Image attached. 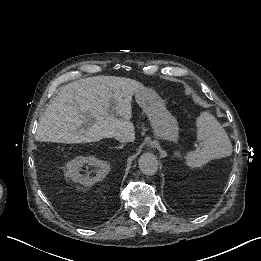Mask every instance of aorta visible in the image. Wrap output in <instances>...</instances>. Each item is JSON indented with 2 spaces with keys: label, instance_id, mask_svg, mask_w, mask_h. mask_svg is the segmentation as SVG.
<instances>
[{
  "label": "aorta",
  "instance_id": "aorta-1",
  "mask_svg": "<svg viewBox=\"0 0 261 261\" xmlns=\"http://www.w3.org/2000/svg\"><path fill=\"white\" fill-rule=\"evenodd\" d=\"M140 171L145 175H154L158 170L157 157L152 153H144L138 161Z\"/></svg>",
  "mask_w": 261,
  "mask_h": 261
}]
</instances>
